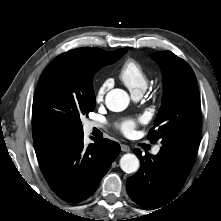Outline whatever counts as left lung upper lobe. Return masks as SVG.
<instances>
[{"label": "left lung upper lobe", "instance_id": "5c2ea615", "mask_svg": "<svg viewBox=\"0 0 221 221\" xmlns=\"http://www.w3.org/2000/svg\"><path fill=\"white\" fill-rule=\"evenodd\" d=\"M164 77V98L149 131L150 141L196 151L201 118L200 96L192 68L170 51L153 53ZM156 128V129H155Z\"/></svg>", "mask_w": 221, "mask_h": 221}]
</instances>
